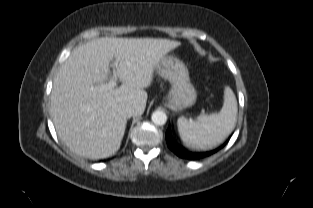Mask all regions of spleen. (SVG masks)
<instances>
[{"mask_svg":"<svg viewBox=\"0 0 313 208\" xmlns=\"http://www.w3.org/2000/svg\"><path fill=\"white\" fill-rule=\"evenodd\" d=\"M237 117L236 97L229 86L224 90V103L219 113L200 116L197 120L178 118L183 142L192 148L206 149L220 144L232 131Z\"/></svg>","mask_w":313,"mask_h":208,"instance_id":"3e777b00","label":"spleen"}]
</instances>
